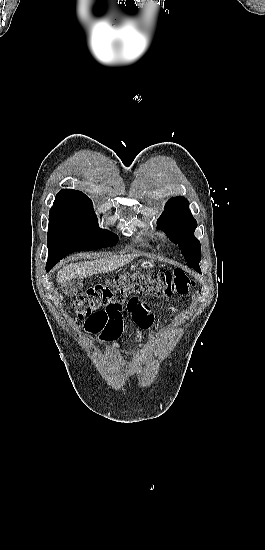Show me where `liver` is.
Listing matches in <instances>:
<instances>
[{
    "label": "liver",
    "mask_w": 265,
    "mask_h": 550,
    "mask_svg": "<svg viewBox=\"0 0 265 550\" xmlns=\"http://www.w3.org/2000/svg\"><path fill=\"white\" fill-rule=\"evenodd\" d=\"M136 255L109 256L92 261H81L63 266L57 273V282L64 285L70 280H82L94 274L108 273L131 262Z\"/></svg>",
    "instance_id": "1"
}]
</instances>
